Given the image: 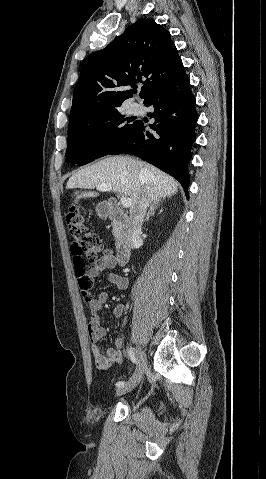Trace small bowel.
I'll list each match as a JSON object with an SVG mask.
<instances>
[{
    "label": "small bowel",
    "mask_w": 266,
    "mask_h": 479,
    "mask_svg": "<svg viewBox=\"0 0 266 479\" xmlns=\"http://www.w3.org/2000/svg\"><path fill=\"white\" fill-rule=\"evenodd\" d=\"M115 266L116 261L114 257L106 253L89 269V275L91 277H98L102 272L112 269ZM106 281L119 290H124L128 286L127 278L119 274H108ZM107 298V293L101 291L96 298L89 302L91 317L87 326V333L91 344L92 357L98 369H107L122 361L121 349L123 347V340L121 338L115 339V348L108 349L105 354L101 353L98 345L99 341L106 336V330L100 324V316L98 313L106 304ZM124 314L125 306L123 304H117L113 309V315L119 318L124 316Z\"/></svg>",
    "instance_id": "c3829d8e"
}]
</instances>
